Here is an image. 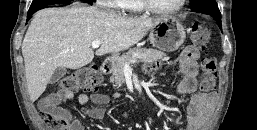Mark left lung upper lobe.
Wrapping results in <instances>:
<instances>
[{"label": "left lung upper lobe", "mask_w": 257, "mask_h": 130, "mask_svg": "<svg viewBox=\"0 0 257 130\" xmlns=\"http://www.w3.org/2000/svg\"><path fill=\"white\" fill-rule=\"evenodd\" d=\"M190 8L211 16H220L217 3L215 0H190Z\"/></svg>", "instance_id": "left-lung-upper-lobe-1"}]
</instances>
